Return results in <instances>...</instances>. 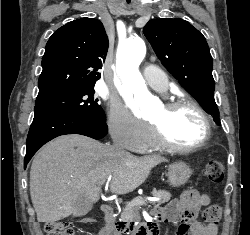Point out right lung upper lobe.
<instances>
[{"mask_svg": "<svg viewBox=\"0 0 250 235\" xmlns=\"http://www.w3.org/2000/svg\"><path fill=\"white\" fill-rule=\"evenodd\" d=\"M108 45L103 24L97 19L81 18L60 27L46 44L37 97L95 85Z\"/></svg>", "mask_w": 250, "mask_h": 235, "instance_id": "obj_1", "label": "right lung upper lobe"}]
</instances>
